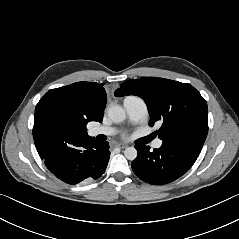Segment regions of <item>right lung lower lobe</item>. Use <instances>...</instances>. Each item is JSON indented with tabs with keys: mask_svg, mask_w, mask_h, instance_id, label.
Listing matches in <instances>:
<instances>
[{
	"mask_svg": "<svg viewBox=\"0 0 239 239\" xmlns=\"http://www.w3.org/2000/svg\"><path fill=\"white\" fill-rule=\"evenodd\" d=\"M108 149V142L73 136L53 143L39 155L57 178L75 185L102 176L110 157Z\"/></svg>",
	"mask_w": 239,
	"mask_h": 239,
	"instance_id": "right-lung-lower-lobe-1",
	"label": "right lung lower lobe"
}]
</instances>
